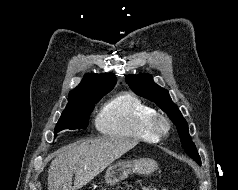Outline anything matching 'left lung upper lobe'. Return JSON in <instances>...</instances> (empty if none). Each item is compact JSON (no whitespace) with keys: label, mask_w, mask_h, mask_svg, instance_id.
Instances as JSON below:
<instances>
[{"label":"left lung upper lobe","mask_w":238,"mask_h":190,"mask_svg":"<svg viewBox=\"0 0 238 190\" xmlns=\"http://www.w3.org/2000/svg\"><path fill=\"white\" fill-rule=\"evenodd\" d=\"M130 88L137 94L156 103L174 122L185 152L199 164L200 156L192 143L186 120L176 104L172 102L168 91L158 86L151 75H128L126 77Z\"/></svg>","instance_id":"5c2ea615"}]
</instances>
